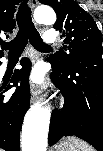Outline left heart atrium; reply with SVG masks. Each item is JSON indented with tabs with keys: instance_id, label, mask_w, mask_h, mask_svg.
I'll return each mask as SVG.
<instances>
[{
	"instance_id": "obj_1",
	"label": "left heart atrium",
	"mask_w": 103,
	"mask_h": 151,
	"mask_svg": "<svg viewBox=\"0 0 103 151\" xmlns=\"http://www.w3.org/2000/svg\"><path fill=\"white\" fill-rule=\"evenodd\" d=\"M29 81L33 86H37L43 83L44 73L40 67H36L30 74Z\"/></svg>"
}]
</instances>
